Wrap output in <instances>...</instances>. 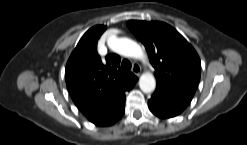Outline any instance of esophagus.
Returning <instances> with one entry per match:
<instances>
[{"label":"esophagus","instance_id":"obj_1","mask_svg":"<svg viewBox=\"0 0 247 145\" xmlns=\"http://www.w3.org/2000/svg\"><path fill=\"white\" fill-rule=\"evenodd\" d=\"M132 72H133L135 75L139 76L140 73H141V67H140V65L137 64V63H134L133 66H132Z\"/></svg>","mask_w":247,"mask_h":145}]
</instances>
